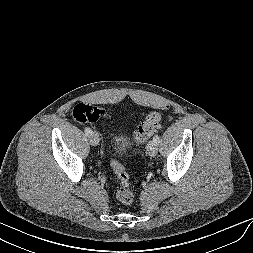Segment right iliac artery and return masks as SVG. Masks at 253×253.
I'll return each mask as SVG.
<instances>
[{"mask_svg": "<svg viewBox=\"0 0 253 253\" xmlns=\"http://www.w3.org/2000/svg\"><path fill=\"white\" fill-rule=\"evenodd\" d=\"M84 131L87 136H90L93 133L92 130L88 127H86Z\"/></svg>", "mask_w": 253, "mask_h": 253, "instance_id": "right-iliac-artery-1", "label": "right iliac artery"}]
</instances>
